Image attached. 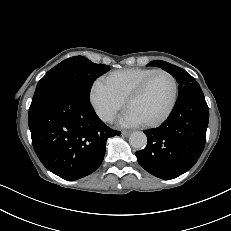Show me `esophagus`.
<instances>
[{
  "label": "esophagus",
  "instance_id": "1",
  "mask_svg": "<svg viewBox=\"0 0 231 231\" xmlns=\"http://www.w3.org/2000/svg\"><path fill=\"white\" fill-rule=\"evenodd\" d=\"M130 133H131L130 131H122V135L126 137L129 136Z\"/></svg>",
  "mask_w": 231,
  "mask_h": 231
}]
</instances>
